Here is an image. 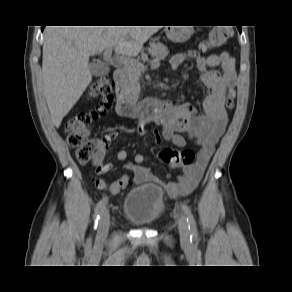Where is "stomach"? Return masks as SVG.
<instances>
[{"mask_svg":"<svg viewBox=\"0 0 292 292\" xmlns=\"http://www.w3.org/2000/svg\"><path fill=\"white\" fill-rule=\"evenodd\" d=\"M192 33H193L192 26L170 27V29H166L168 39L177 43L187 41L191 37Z\"/></svg>","mask_w":292,"mask_h":292,"instance_id":"stomach-1","label":"stomach"}]
</instances>
